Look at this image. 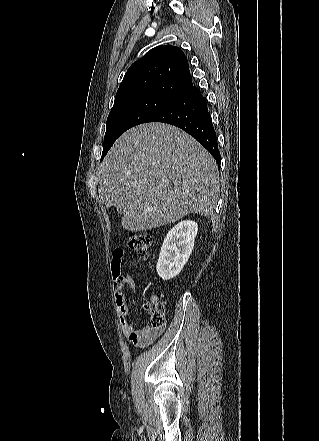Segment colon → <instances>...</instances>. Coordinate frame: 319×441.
<instances>
[{
    "label": "colon",
    "mask_w": 319,
    "mask_h": 441,
    "mask_svg": "<svg viewBox=\"0 0 319 441\" xmlns=\"http://www.w3.org/2000/svg\"><path fill=\"white\" fill-rule=\"evenodd\" d=\"M129 245L141 259L148 258L150 254V249L152 245V238L146 232L134 233L129 238ZM112 273L114 278V283L120 285L121 283V271L119 264L112 265ZM147 309L151 315L152 327L159 328L164 325L166 307L164 303L152 300L147 304Z\"/></svg>",
    "instance_id": "1"
}]
</instances>
